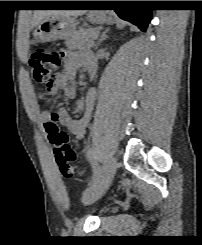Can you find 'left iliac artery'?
Masks as SVG:
<instances>
[{
    "instance_id": "1",
    "label": "left iliac artery",
    "mask_w": 202,
    "mask_h": 245,
    "mask_svg": "<svg viewBox=\"0 0 202 245\" xmlns=\"http://www.w3.org/2000/svg\"><path fill=\"white\" fill-rule=\"evenodd\" d=\"M89 157H90V159L92 161V165H93V176H92V180L90 182V186L84 191V197L87 196L93 190L95 182L101 173L100 167L97 164V162L95 161L93 154H92V151H89Z\"/></svg>"
}]
</instances>
